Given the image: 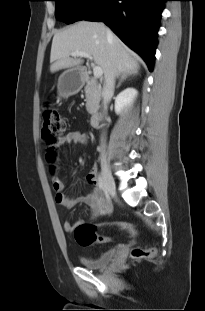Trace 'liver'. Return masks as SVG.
I'll list each match as a JSON object with an SVG mask.
<instances>
[{"mask_svg":"<svg viewBox=\"0 0 205 311\" xmlns=\"http://www.w3.org/2000/svg\"><path fill=\"white\" fill-rule=\"evenodd\" d=\"M108 30L103 23L79 21L57 32L51 46L50 71L79 69L83 60L70 58V55L72 52H83L92 56L104 76L111 69L116 70V75L137 73L136 55L116 35L108 37Z\"/></svg>","mask_w":205,"mask_h":311,"instance_id":"obj_1","label":"liver"}]
</instances>
